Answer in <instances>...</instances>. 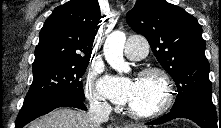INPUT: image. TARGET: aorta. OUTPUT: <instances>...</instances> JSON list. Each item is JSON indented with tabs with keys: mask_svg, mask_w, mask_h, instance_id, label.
<instances>
[{
	"mask_svg": "<svg viewBox=\"0 0 221 128\" xmlns=\"http://www.w3.org/2000/svg\"><path fill=\"white\" fill-rule=\"evenodd\" d=\"M126 42V35L122 31H114L107 37L104 43V56L109 65L118 73L128 72L129 65L123 57V49Z\"/></svg>",
	"mask_w": 221,
	"mask_h": 128,
	"instance_id": "1",
	"label": "aorta"
}]
</instances>
